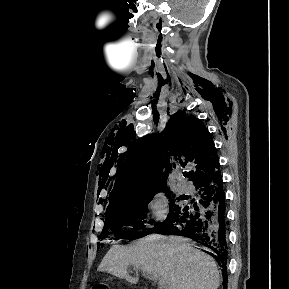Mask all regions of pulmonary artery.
Wrapping results in <instances>:
<instances>
[{
	"mask_svg": "<svg viewBox=\"0 0 289 289\" xmlns=\"http://www.w3.org/2000/svg\"><path fill=\"white\" fill-rule=\"evenodd\" d=\"M177 186L181 192H188L190 190L189 185L184 181H179Z\"/></svg>",
	"mask_w": 289,
	"mask_h": 289,
	"instance_id": "pulmonary-artery-1",
	"label": "pulmonary artery"
}]
</instances>
